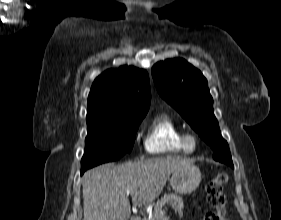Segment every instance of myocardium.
Wrapping results in <instances>:
<instances>
[{
	"label": "myocardium",
	"mask_w": 281,
	"mask_h": 220,
	"mask_svg": "<svg viewBox=\"0 0 281 220\" xmlns=\"http://www.w3.org/2000/svg\"><path fill=\"white\" fill-rule=\"evenodd\" d=\"M182 143L188 152H194L198 146V138L194 133L185 132L182 135Z\"/></svg>",
	"instance_id": "1"
}]
</instances>
